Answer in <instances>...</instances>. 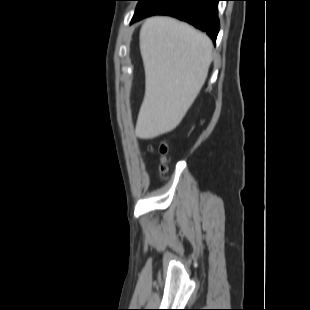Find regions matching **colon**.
Wrapping results in <instances>:
<instances>
[{
    "mask_svg": "<svg viewBox=\"0 0 310 310\" xmlns=\"http://www.w3.org/2000/svg\"><path fill=\"white\" fill-rule=\"evenodd\" d=\"M149 151H156L158 154H160V160H159V171L161 173H164L167 171V159H166V155L168 153V146L166 143H160L158 146L154 147V146H149L148 147Z\"/></svg>",
    "mask_w": 310,
    "mask_h": 310,
    "instance_id": "colon-1",
    "label": "colon"
}]
</instances>
